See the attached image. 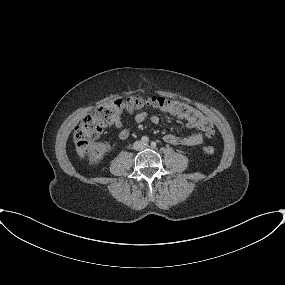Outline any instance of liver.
Instances as JSON below:
<instances>
[{
  "mask_svg": "<svg viewBox=\"0 0 285 285\" xmlns=\"http://www.w3.org/2000/svg\"><path fill=\"white\" fill-rule=\"evenodd\" d=\"M77 150V153H78V155L81 157V158H84V151L79 147V148H77L76 149Z\"/></svg>",
  "mask_w": 285,
  "mask_h": 285,
  "instance_id": "6515ba94",
  "label": "liver"
}]
</instances>
